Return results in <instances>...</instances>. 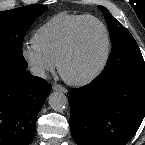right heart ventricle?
<instances>
[{"mask_svg": "<svg viewBox=\"0 0 145 145\" xmlns=\"http://www.w3.org/2000/svg\"><path fill=\"white\" fill-rule=\"evenodd\" d=\"M88 14L59 13L40 26L32 36V43L55 63L65 49L72 29Z\"/></svg>", "mask_w": 145, "mask_h": 145, "instance_id": "obj_1", "label": "right heart ventricle"}]
</instances>
